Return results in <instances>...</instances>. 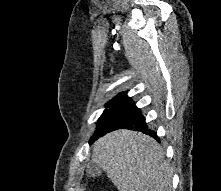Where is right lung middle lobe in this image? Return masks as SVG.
Instances as JSON below:
<instances>
[{"instance_id": "dd1d6c3e", "label": "right lung middle lobe", "mask_w": 221, "mask_h": 191, "mask_svg": "<svg viewBox=\"0 0 221 191\" xmlns=\"http://www.w3.org/2000/svg\"><path fill=\"white\" fill-rule=\"evenodd\" d=\"M117 102L116 101H111L109 102L107 105H106V108H109V109H106L103 114L101 115V117L99 118V124L97 125V128H96V131L94 132L93 136L91 137V139H93L101 130L102 128V123L104 121V119L106 118V116L109 114L110 110L112 109L113 105L116 104Z\"/></svg>"}]
</instances>
